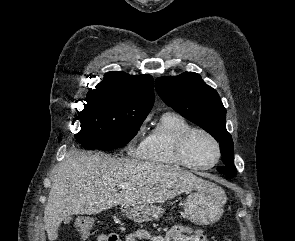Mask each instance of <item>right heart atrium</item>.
<instances>
[{"label": "right heart atrium", "instance_id": "1", "mask_svg": "<svg viewBox=\"0 0 295 241\" xmlns=\"http://www.w3.org/2000/svg\"><path fill=\"white\" fill-rule=\"evenodd\" d=\"M145 124H146V120H144V121L140 124V126L138 127L137 132H136L137 135L141 134V133L144 131Z\"/></svg>", "mask_w": 295, "mask_h": 241}]
</instances>
